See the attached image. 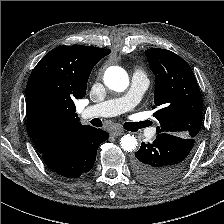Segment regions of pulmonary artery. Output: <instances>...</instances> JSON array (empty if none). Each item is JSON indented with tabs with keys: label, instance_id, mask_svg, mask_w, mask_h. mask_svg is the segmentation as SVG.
I'll return each mask as SVG.
<instances>
[{
	"label": "pulmonary artery",
	"instance_id": "e3ab8cb5",
	"mask_svg": "<svg viewBox=\"0 0 224 224\" xmlns=\"http://www.w3.org/2000/svg\"><path fill=\"white\" fill-rule=\"evenodd\" d=\"M149 85L147 76L137 71L133 74L128 92L119 98L109 99L95 105L82 109L81 117L89 119L92 117H112L131 111L141 100ZM151 132L154 134L155 129Z\"/></svg>",
	"mask_w": 224,
	"mask_h": 224
}]
</instances>
